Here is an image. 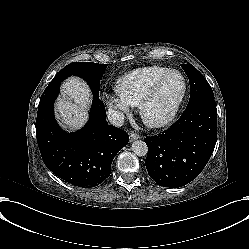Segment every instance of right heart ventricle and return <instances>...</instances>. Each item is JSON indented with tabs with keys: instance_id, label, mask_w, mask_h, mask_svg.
Here are the masks:
<instances>
[{
	"instance_id": "right-heart-ventricle-1",
	"label": "right heart ventricle",
	"mask_w": 249,
	"mask_h": 249,
	"mask_svg": "<svg viewBox=\"0 0 249 249\" xmlns=\"http://www.w3.org/2000/svg\"><path fill=\"white\" fill-rule=\"evenodd\" d=\"M167 71L160 66L135 69L124 76L116 91L129 105L137 107Z\"/></svg>"
}]
</instances>
